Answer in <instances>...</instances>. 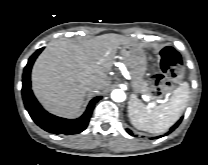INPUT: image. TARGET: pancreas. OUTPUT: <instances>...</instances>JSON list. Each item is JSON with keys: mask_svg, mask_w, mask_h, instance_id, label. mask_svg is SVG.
I'll return each instance as SVG.
<instances>
[{"mask_svg": "<svg viewBox=\"0 0 208 165\" xmlns=\"http://www.w3.org/2000/svg\"><path fill=\"white\" fill-rule=\"evenodd\" d=\"M145 88H146L145 93L149 95V91H148V87H147V85H145Z\"/></svg>", "mask_w": 208, "mask_h": 165, "instance_id": "cf45deb5", "label": "pancreas"}]
</instances>
